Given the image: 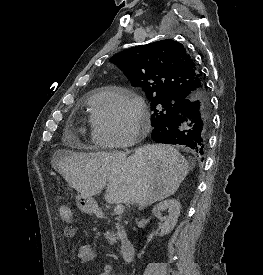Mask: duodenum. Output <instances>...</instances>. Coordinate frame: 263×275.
Segmentation results:
<instances>
[{"label": "duodenum", "mask_w": 263, "mask_h": 275, "mask_svg": "<svg viewBox=\"0 0 263 275\" xmlns=\"http://www.w3.org/2000/svg\"><path fill=\"white\" fill-rule=\"evenodd\" d=\"M120 254L124 261H130L135 254L134 243L125 233L122 234Z\"/></svg>", "instance_id": "410a0bca"}]
</instances>
